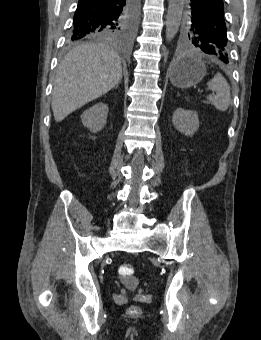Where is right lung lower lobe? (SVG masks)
<instances>
[{
    "instance_id": "right-lung-lower-lobe-1",
    "label": "right lung lower lobe",
    "mask_w": 261,
    "mask_h": 340,
    "mask_svg": "<svg viewBox=\"0 0 261 340\" xmlns=\"http://www.w3.org/2000/svg\"><path fill=\"white\" fill-rule=\"evenodd\" d=\"M131 0H79L74 14L75 31H86L119 17Z\"/></svg>"
}]
</instances>
